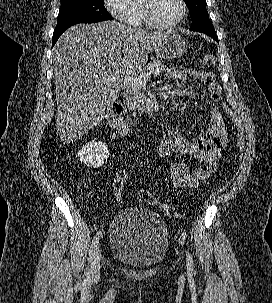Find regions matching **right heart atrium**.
<instances>
[{
  "instance_id": "right-heart-atrium-1",
  "label": "right heart atrium",
  "mask_w": 272,
  "mask_h": 303,
  "mask_svg": "<svg viewBox=\"0 0 272 303\" xmlns=\"http://www.w3.org/2000/svg\"><path fill=\"white\" fill-rule=\"evenodd\" d=\"M131 0H104L108 12L118 20L127 22Z\"/></svg>"
}]
</instances>
